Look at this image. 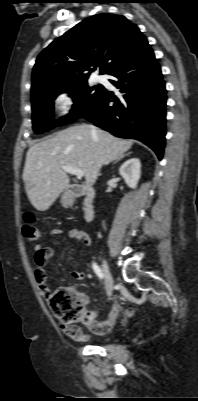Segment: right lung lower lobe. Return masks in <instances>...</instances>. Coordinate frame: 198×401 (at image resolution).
<instances>
[{
  "mask_svg": "<svg viewBox=\"0 0 198 401\" xmlns=\"http://www.w3.org/2000/svg\"><path fill=\"white\" fill-rule=\"evenodd\" d=\"M109 75L120 89L114 95L104 89L84 116L94 125L121 138L137 139L162 159L166 134V90L161 69L148 45Z\"/></svg>",
  "mask_w": 198,
  "mask_h": 401,
  "instance_id": "obj_1",
  "label": "right lung lower lobe"
}]
</instances>
